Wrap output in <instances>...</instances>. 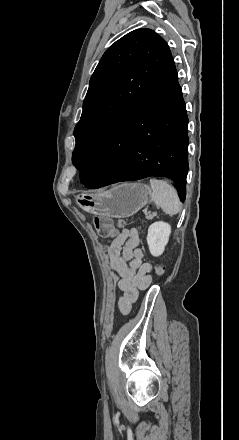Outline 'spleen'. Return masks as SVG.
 Masks as SVG:
<instances>
[{
    "label": "spleen",
    "instance_id": "spleen-1",
    "mask_svg": "<svg viewBox=\"0 0 239 440\" xmlns=\"http://www.w3.org/2000/svg\"><path fill=\"white\" fill-rule=\"evenodd\" d=\"M150 186L152 190L151 200L160 206L165 214L169 216H175L178 214L181 208V202L178 198L177 190L170 186L168 182L164 180H150Z\"/></svg>",
    "mask_w": 239,
    "mask_h": 440
}]
</instances>
